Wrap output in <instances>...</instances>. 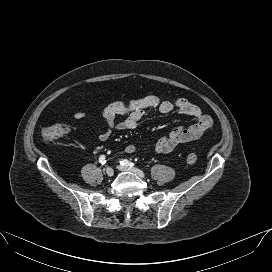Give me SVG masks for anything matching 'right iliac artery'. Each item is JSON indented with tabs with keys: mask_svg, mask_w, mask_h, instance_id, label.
Masks as SVG:
<instances>
[{
	"mask_svg": "<svg viewBox=\"0 0 272 272\" xmlns=\"http://www.w3.org/2000/svg\"><path fill=\"white\" fill-rule=\"evenodd\" d=\"M99 162H100L102 165H104V164L106 163V157H105L104 155H101V156L99 157Z\"/></svg>",
	"mask_w": 272,
	"mask_h": 272,
	"instance_id": "1",
	"label": "right iliac artery"
}]
</instances>
